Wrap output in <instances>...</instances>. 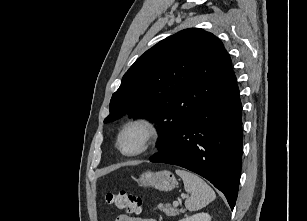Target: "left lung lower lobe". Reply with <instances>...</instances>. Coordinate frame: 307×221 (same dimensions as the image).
Segmentation results:
<instances>
[{"instance_id":"obj_1","label":"left lung lower lobe","mask_w":307,"mask_h":221,"mask_svg":"<svg viewBox=\"0 0 307 221\" xmlns=\"http://www.w3.org/2000/svg\"><path fill=\"white\" fill-rule=\"evenodd\" d=\"M242 105L236 77L193 113L151 162L177 165L209 180L234 208L242 163Z\"/></svg>"}]
</instances>
